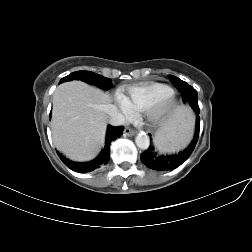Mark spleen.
Instances as JSON below:
<instances>
[{
  "label": "spleen",
  "mask_w": 252,
  "mask_h": 252,
  "mask_svg": "<svg viewBox=\"0 0 252 252\" xmlns=\"http://www.w3.org/2000/svg\"><path fill=\"white\" fill-rule=\"evenodd\" d=\"M194 118L187 108L179 107L167 124L156 133L154 143L160 152H174L187 145L193 133Z\"/></svg>",
  "instance_id": "1"
}]
</instances>
